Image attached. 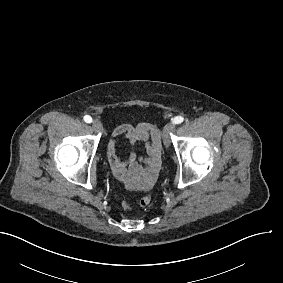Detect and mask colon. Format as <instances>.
<instances>
[{
	"mask_svg": "<svg viewBox=\"0 0 283 283\" xmlns=\"http://www.w3.org/2000/svg\"><path fill=\"white\" fill-rule=\"evenodd\" d=\"M151 200H152L151 195L146 194L138 199L137 204L142 208H146L150 205Z\"/></svg>",
	"mask_w": 283,
	"mask_h": 283,
	"instance_id": "colon-1",
	"label": "colon"
}]
</instances>
